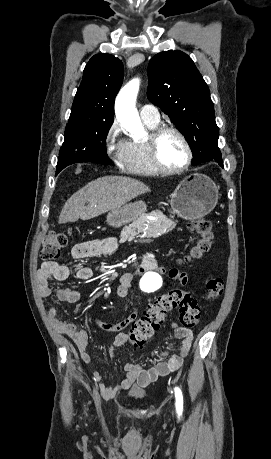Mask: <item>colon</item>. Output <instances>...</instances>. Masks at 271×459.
I'll return each mask as SVG.
<instances>
[{"mask_svg":"<svg viewBox=\"0 0 271 459\" xmlns=\"http://www.w3.org/2000/svg\"><path fill=\"white\" fill-rule=\"evenodd\" d=\"M188 229L198 235L197 241L190 249L186 259L201 258L212 246V223L206 218L190 221ZM68 243L66 232H53L48 235L43 243L40 256L45 261H53L61 256L62 250ZM224 288L221 277H210L206 281L205 296L208 299L219 297ZM178 309L180 321L187 327L197 326L200 321V307L191 293L180 289H172L158 297L131 327L127 334L128 341L133 347L143 346L161 327L166 315Z\"/></svg>","mask_w":271,"mask_h":459,"instance_id":"5ec220e1","label":"colon"}]
</instances>
